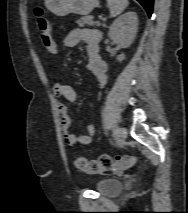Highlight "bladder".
Instances as JSON below:
<instances>
[{
	"instance_id": "31cf9c89",
	"label": "bladder",
	"mask_w": 188,
	"mask_h": 213,
	"mask_svg": "<svg viewBox=\"0 0 188 213\" xmlns=\"http://www.w3.org/2000/svg\"><path fill=\"white\" fill-rule=\"evenodd\" d=\"M95 188L103 196H115L123 190V182L115 178H104L97 181Z\"/></svg>"
}]
</instances>
